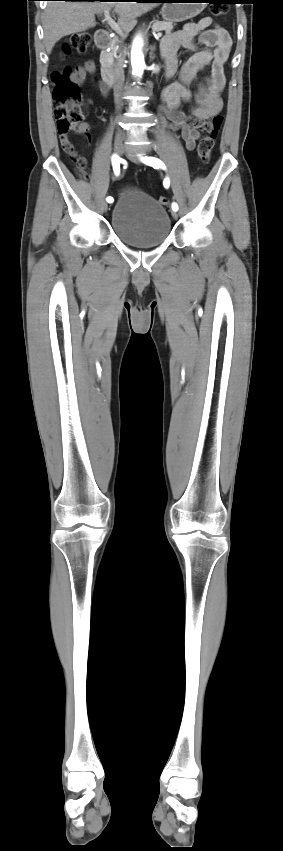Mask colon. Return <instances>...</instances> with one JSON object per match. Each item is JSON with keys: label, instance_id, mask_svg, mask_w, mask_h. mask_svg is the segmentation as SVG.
Here are the masks:
<instances>
[{"label": "colon", "instance_id": "colon-1", "mask_svg": "<svg viewBox=\"0 0 283 851\" xmlns=\"http://www.w3.org/2000/svg\"><path fill=\"white\" fill-rule=\"evenodd\" d=\"M215 16H223L228 12V7L215 5L211 9ZM90 45V35L87 32L72 34L63 44L61 55L66 58L72 50L84 53ZM71 69L64 68L52 73L54 85V97L56 99L53 114L59 136H67L70 132L87 133L88 124L82 111V95L78 84L71 79ZM223 125V116L218 112L212 115L202 127V137L197 146V154L203 163L210 160L215 140ZM76 173L80 177H87L86 167L81 161H75ZM159 202L167 205L169 200L161 196Z\"/></svg>", "mask_w": 283, "mask_h": 851}]
</instances>
